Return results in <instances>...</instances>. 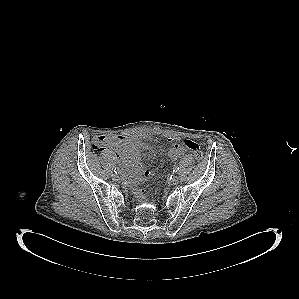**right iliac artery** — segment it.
Segmentation results:
<instances>
[{
    "instance_id": "obj_1",
    "label": "right iliac artery",
    "mask_w": 299,
    "mask_h": 299,
    "mask_svg": "<svg viewBox=\"0 0 299 299\" xmlns=\"http://www.w3.org/2000/svg\"><path fill=\"white\" fill-rule=\"evenodd\" d=\"M114 173H116V174L119 173V169H116V168H115V169H114Z\"/></svg>"
}]
</instances>
